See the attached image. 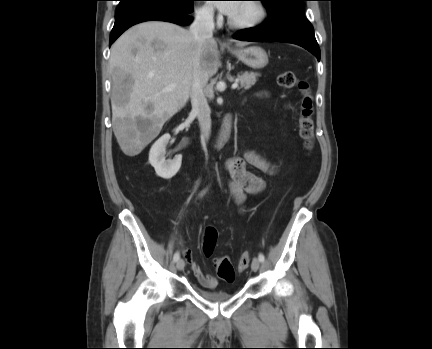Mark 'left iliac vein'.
I'll list each match as a JSON object with an SVG mask.
<instances>
[{"label":"left iliac vein","instance_id":"left-iliac-vein-1","mask_svg":"<svg viewBox=\"0 0 432 349\" xmlns=\"http://www.w3.org/2000/svg\"><path fill=\"white\" fill-rule=\"evenodd\" d=\"M260 267V261L257 258H254L251 264V268L253 271H257Z\"/></svg>","mask_w":432,"mask_h":349}]
</instances>
